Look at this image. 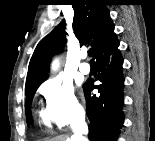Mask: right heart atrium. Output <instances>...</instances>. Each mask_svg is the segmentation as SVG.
I'll return each instance as SVG.
<instances>
[{
	"label": "right heart atrium",
	"mask_w": 155,
	"mask_h": 141,
	"mask_svg": "<svg viewBox=\"0 0 155 141\" xmlns=\"http://www.w3.org/2000/svg\"><path fill=\"white\" fill-rule=\"evenodd\" d=\"M39 93L45 101L46 118L57 127L63 128L81 120L83 109L71 83L54 77L40 86Z\"/></svg>",
	"instance_id": "right-heart-atrium-1"
}]
</instances>
